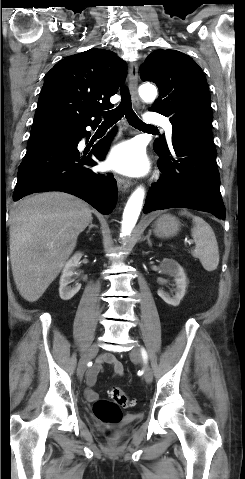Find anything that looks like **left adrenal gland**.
I'll use <instances>...</instances> for the list:
<instances>
[{
	"mask_svg": "<svg viewBox=\"0 0 245 479\" xmlns=\"http://www.w3.org/2000/svg\"><path fill=\"white\" fill-rule=\"evenodd\" d=\"M150 235H151V230H149V233L144 237V240H147L148 245L151 247V246H152V242H151V240H150Z\"/></svg>",
	"mask_w": 245,
	"mask_h": 479,
	"instance_id": "obj_1",
	"label": "left adrenal gland"
}]
</instances>
